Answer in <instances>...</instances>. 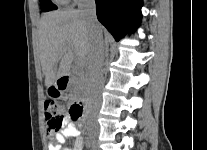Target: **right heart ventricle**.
Returning a JSON list of instances; mask_svg holds the SVG:
<instances>
[{"instance_id": "right-heart-ventricle-1", "label": "right heart ventricle", "mask_w": 207, "mask_h": 150, "mask_svg": "<svg viewBox=\"0 0 207 150\" xmlns=\"http://www.w3.org/2000/svg\"><path fill=\"white\" fill-rule=\"evenodd\" d=\"M57 2H60V3H62V2H64L63 0H56Z\"/></svg>"}]
</instances>
